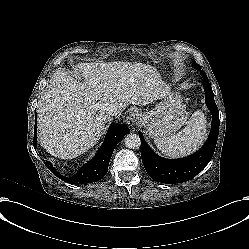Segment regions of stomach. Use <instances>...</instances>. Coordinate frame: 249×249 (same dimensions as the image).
I'll use <instances>...</instances> for the list:
<instances>
[{
	"instance_id": "1",
	"label": "stomach",
	"mask_w": 249,
	"mask_h": 249,
	"mask_svg": "<svg viewBox=\"0 0 249 249\" xmlns=\"http://www.w3.org/2000/svg\"><path fill=\"white\" fill-rule=\"evenodd\" d=\"M140 113L141 124L151 138L176 133L186 121L185 105L178 95H168L151 111Z\"/></svg>"
}]
</instances>
